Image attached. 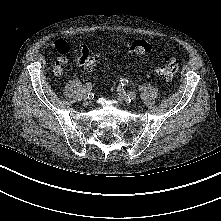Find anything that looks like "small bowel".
Here are the masks:
<instances>
[{"label":"small bowel","instance_id":"1","mask_svg":"<svg viewBox=\"0 0 221 221\" xmlns=\"http://www.w3.org/2000/svg\"><path fill=\"white\" fill-rule=\"evenodd\" d=\"M53 46L59 53V56L54 62L53 68L56 75L61 74L63 66L68 62L67 55L70 52L71 49L78 52L80 55H83L84 53L88 52V48L83 43H74L72 46L65 40H56L53 43ZM78 65L80 66L79 60Z\"/></svg>","mask_w":221,"mask_h":221}]
</instances>
